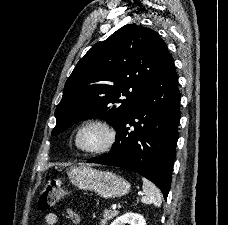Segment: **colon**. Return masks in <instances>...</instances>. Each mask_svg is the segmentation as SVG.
<instances>
[{"mask_svg": "<svg viewBox=\"0 0 228 225\" xmlns=\"http://www.w3.org/2000/svg\"><path fill=\"white\" fill-rule=\"evenodd\" d=\"M65 189L61 179H46L44 189L38 198V205L42 209H47L58 203L63 195Z\"/></svg>", "mask_w": 228, "mask_h": 225, "instance_id": "colon-1", "label": "colon"}]
</instances>
